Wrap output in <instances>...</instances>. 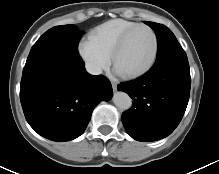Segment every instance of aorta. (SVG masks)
I'll return each mask as SVG.
<instances>
[{
    "mask_svg": "<svg viewBox=\"0 0 219 174\" xmlns=\"http://www.w3.org/2000/svg\"><path fill=\"white\" fill-rule=\"evenodd\" d=\"M114 104L121 110H128L132 106L131 97L122 91H117L113 94L112 98Z\"/></svg>",
    "mask_w": 219,
    "mask_h": 174,
    "instance_id": "762f6f07",
    "label": "aorta"
}]
</instances>
